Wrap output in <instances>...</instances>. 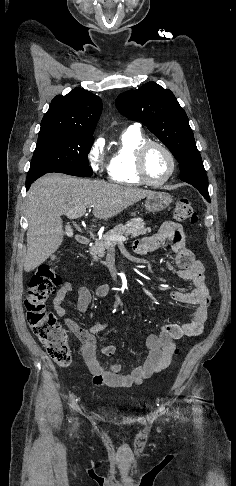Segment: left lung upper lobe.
<instances>
[{"mask_svg": "<svg viewBox=\"0 0 236 486\" xmlns=\"http://www.w3.org/2000/svg\"><path fill=\"white\" fill-rule=\"evenodd\" d=\"M116 106L122 115L146 125L166 145L179 162L180 179L210 201L207 175L188 117L173 93L149 82L120 94Z\"/></svg>", "mask_w": 236, "mask_h": 486, "instance_id": "1", "label": "left lung upper lobe"}]
</instances>
